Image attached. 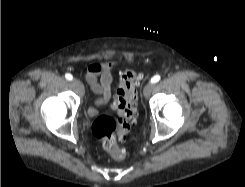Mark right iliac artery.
Here are the masks:
<instances>
[{
    "instance_id": "obj_1",
    "label": "right iliac artery",
    "mask_w": 245,
    "mask_h": 187,
    "mask_svg": "<svg viewBox=\"0 0 245 187\" xmlns=\"http://www.w3.org/2000/svg\"><path fill=\"white\" fill-rule=\"evenodd\" d=\"M65 78L70 81L73 79V76L71 74L67 73V74H65Z\"/></svg>"
}]
</instances>
